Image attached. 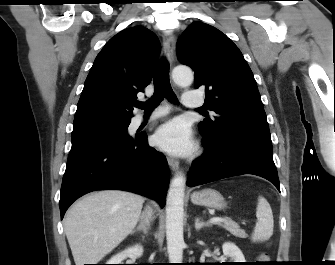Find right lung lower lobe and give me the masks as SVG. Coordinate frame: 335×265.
<instances>
[{
	"mask_svg": "<svg viewBox=\"0 0 335 265\" xmlns=\"http://www.w3.org/2000/svg\"><path fill=\"white\" fill-rule=\"evenodd\" d=\"M168 184L166 158L148 146L145 133L123 140L75 144L62 180L61 219L76 199L95 190L131 191L152 198L164 207Z\"/></svg>",
	"mask_w": 335,
	"mask_h": 265,
	"instance_id": "obj_1",
	"label": "right lung lower lobe"
}]
</instances>
